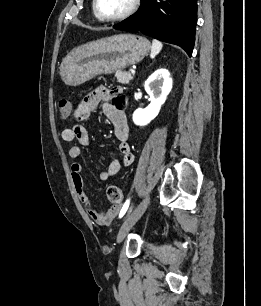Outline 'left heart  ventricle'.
<instances>
[{"mask_svg": "<svg viewBox=\"0 0 261 306\" xmlns=\"http://www.w3.org/2000/svg\"><path fill=\"white\" fill-rule=\"evenodd\" d=\"M131 3L132 0H98V9L102 15L114 17L124 13Z\"/></svg>", "mask_w": 261, "mask_h": 306, "instance_id": "b2bd125f", "label": "left heart ventricle"}]
</instances>
